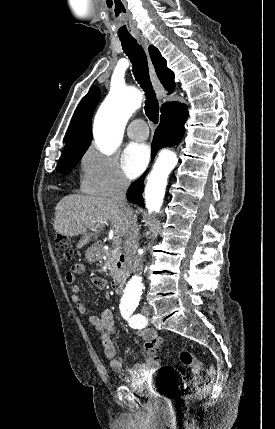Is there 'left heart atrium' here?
<instances>
[{"instance_id":"left-heart-atrium-1","label":"left heart atrium","mask_w":275,"mask_h":429,"mask_svg":"<svg viewBox=\"0 0 275 429\" xmlns=\"http://www.w3.org/2000/svg\"><path fill=\"white\" fill-rule=\"evenodd\" d=\"M149 147L145 144L131 143L124 150L122 166L129 178L140 175L148 164Z\"/></svg>"}]
</instances>
